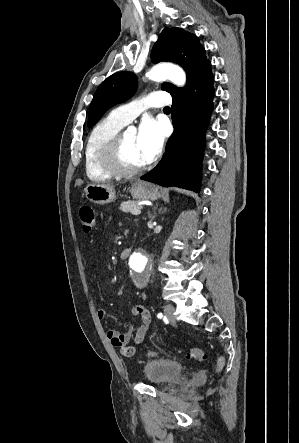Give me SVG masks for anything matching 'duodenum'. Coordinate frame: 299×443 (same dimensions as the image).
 <instances>
[{
    "label": "duodenum",
    "mask_w": 299,
    "mask_h": 443,
    "mask_svg": "<svg viewBox=\"0 0 299 443\" xmlns=\"http://www.w3.org/2000/svg\"><path fill=\"white\" fill-rule=\"evenodd\" d=\"M131 251H132V249H131L130 247L125 248V249L121 252V254H120V258H121V259H126L127 257L130 256Z\"/></svg>",
    "instance_id": "410a0bca"
}]
</instances>
